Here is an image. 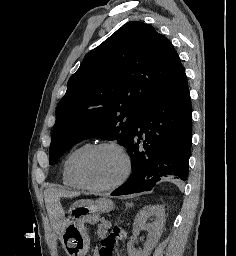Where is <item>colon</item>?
Instances as JSON below:
<instances>
[{"label": "colon", "instance_id": "5ec220e1", "mask_svg": "<svg viewBox=\"0 0 236 256\" xmlns=\"http://www.w3.org/2000/svg\"><path fill=\"white\" fill-rule=\"evenodd\" d=\"M120 230L113 229L110 233L103 236L97 256H117V245L119 241Z\"/></svg>", "mask_w": 236, "mask_h": 256}]
</instances>
